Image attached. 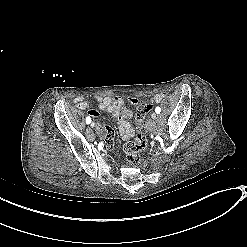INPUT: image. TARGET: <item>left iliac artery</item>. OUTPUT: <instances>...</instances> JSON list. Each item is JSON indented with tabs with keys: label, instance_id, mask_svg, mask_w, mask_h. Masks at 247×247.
Wrapping results in <instances>:
<instances>
[{
	"label": "left iliac artery",
	"instance_id": "44dca946",
	"mask_svg": "<svg viewBox=\"0 0 247 247\" xmlns=\"http://www.w3.org/2000/svg\"><path fill=\"white\" fill-rule=\"evenodd\" d=\"M160 111H161V108H160L159 106H157V107L155 108V112H156L157 114H159Z\"/></svg>",
	"mask_w": 247,
	"mask_h": 247
}]
</instances>
